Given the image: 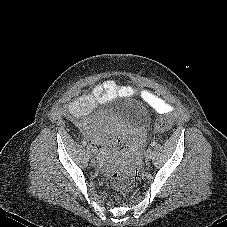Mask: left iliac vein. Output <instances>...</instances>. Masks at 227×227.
I'll return each instance as SVG.
<instances>
[{
  "label": "left iliac vein",
  "instance_id": "left-iliac-vein-1",
  "mask_svg": "<svg viewBox=\"0 0 227 227\" xmlns=\"http://www.w3.org/2000/svg\"><path fill=\"white\" fill-rule=\"evenodd\" d=\"M154 152L153 150L150 148L146 151L145 157L147 160H151L153 158Z\"/></svg>",
  "mask_w": 227,
  "mask_h": 227
}]
</instances>
